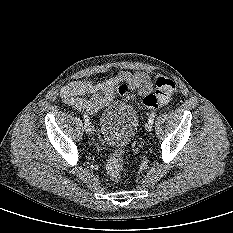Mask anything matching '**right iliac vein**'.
<instances>
[{
    "label": "right iliac vein",
    "instance_id": "obj_1",
    "mask_svg": "<svg viewBox=\"0 0 233 233\" xmlns=\"http://www.w3.org/2000/svg\"><path fill=\"white\" fill-rule=\"evenodd\" d=\"M93 131H94L93 126L89 125V127H88V132H89V133H93Z\"/></svg>",
    "mask_w": 233,
    "mask_h": 233
}]
</instances>
